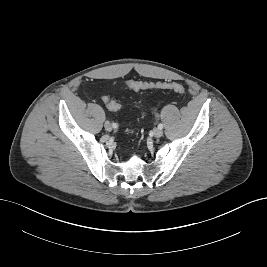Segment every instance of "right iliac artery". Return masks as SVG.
Wrapping results in <instances>:
<instances>
[{
	"mask_svg": "<svg viewBox=\"0 0 267 267\" xmlns=\"http://www.w3.org/2000/svg\"><path fill=\"white\" fill-rule=\"evenodd\" d=\"M112 127L117 128L118 127L117 123H112Z\"/></svg>",
	"mask_w": 267,
	"mask_h": 267,
	"instance_id": "right-iliac-artery-1",
	"label": "right iliac artery"
}]
</instances>
